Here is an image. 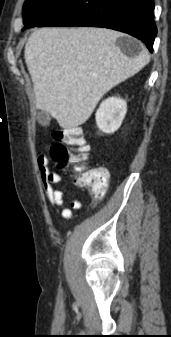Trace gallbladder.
Listing matches in <instances>:
<instances>
[{
  "label": "gallbladder",
  "mask_w": 171,
  "mask_h": 337,
  "mask_svg": "<svg viewBox=\"0 0 171 337\" xmlns=\"http://www.w3.org/2000/svg\"><path fill=\"white\" fill-rule=\"evenodd\" d=\"M50 117L49 114L45 111H41L38 114V121L39 123H41L42 125H47L49 123Z\"/></svg>",
  "instance_id": "bac80fb5"
}]
</instances>
